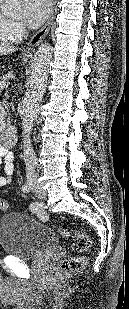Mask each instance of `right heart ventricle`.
<instances>
[{
  "label": "right heart ventricle",
  "mask_w": 129,
  "mask_h": 309,
  "mask_svg": "<svg viewBox=\"0 0 129 309\" xmlns=\"http://www.w3.org/2000/svg\"><path fill=\"white\" fill-rule=\"evenodd\" d=\"M16 40L12 32V21L0 10V44L12 43Z\"/></svg>",
  "instance_id": "right-heart-ventricle-1"
}]
</instances>
